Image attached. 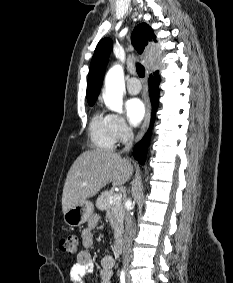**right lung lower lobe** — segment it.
Returning <instances> with one entry per match:
<instances>
[{"label":"right lung lower lobe","mask_w":233,"mask_h":283,"mask_svg":"<svg viewBox=\"0 0 233 283\" xmlns=\"http://www.w3.org/2000/svg\"><path fill=\"white\" fill-rule=\"evenodd\" d=\"M149 83H151L150 87V98L153 105V111H156L158 106V83L159 78L157 75L154 74V77L149 78ZM151 129L148 130L144 138L136 145L134 148L133 156L135 159L138 160L140 164H143L146 158L147 147L149 144Z\"/></svg>","instance_id":"98d812e1"}]
</instances>
